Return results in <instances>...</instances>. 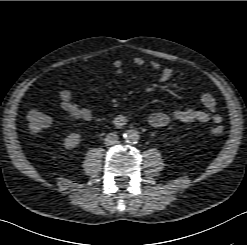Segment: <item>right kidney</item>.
I'll use <instances>...</instances> for the list:
<instances>
[{
	"mask_svg": "<svg viewBox=\"0 0 247 245\" xmlns=\"http://www.w3.org/2000/svg\"><path fill=\"white\" fill-rule=\"evenodd\" d=\"M80 138H81V136L78 133L69 134L64 140L65 148L66 149L75 148L76 146H78V144L80 142Z\"/></svg>",
	"mask_w": 247,
	"mask_h": 245,
	"instance_id": "right-kidney-1",
	"label": "right kidney"
}]
</instances>
